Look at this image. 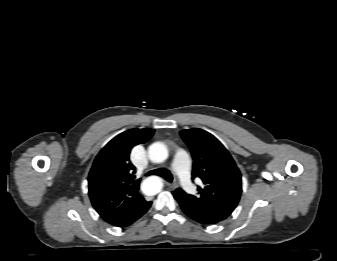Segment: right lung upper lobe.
I'll return each mask as SVG.
<instances>
[{"label": "right lung upper lobe", "instance_id": "cb5924a9", "mask_svg": "<svg viewBox=\"0 0 337 261\" xmlns=\"http://www.w3.org/2000/svg\"><path fill=\"white\" fill-rule=\"evenodd\" d=\"M153 129H130L113 138L96 156L88 176L89 196L99 215L119 226L139 218L149 202L139 194L140 180L129 161L131 149L147 142Z\"/></svg>", "mask_w": 337, "mask_h": 261}]
</instances>
